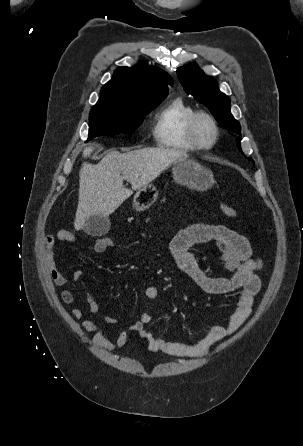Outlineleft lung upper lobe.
Segmentation results:
<instances>
[{"label": "left lung upper lobe", "mask_w": 303, "mask_h": 446, "mask_svg": "<svg viewBox=\"0 0 303 446\" xmlns=\"http://www.w3.org/2000/svg\"><path fill=\"white\" fill-rule=\"evenodd\" d=\"M177 74L185 91L208 107L222 127L240 134V124L230 112V99L219 90L214 78L207 76L196 63L179 67ZM237 146L242 152L239 139Z\"/></svg>", "instance_id": "left-lung-upper-lobe-1"}]
</instances>
